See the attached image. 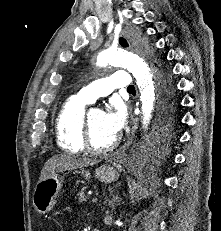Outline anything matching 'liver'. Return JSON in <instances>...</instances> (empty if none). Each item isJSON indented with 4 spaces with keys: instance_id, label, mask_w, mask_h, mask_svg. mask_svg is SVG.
<instances>
[{
    "instance_id": "liver-1",
    "label": "liver",
    "mask_w": 221,
    "mask_h": 231,
    "mask_svg": "<svg viewBox=\"0 0 221 231\" xmlns=\"http://www.w3.org/2000/svg\"><path fill=\"white\" fill-rule=\"evenodd\" d=\"M97 162L98 161L96 159L79 157L71 154L55 155L44 165L39 177V181L58 172L94 165Z\"/></svg>"
}]
</instances>
